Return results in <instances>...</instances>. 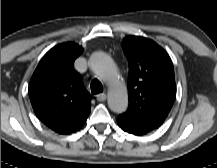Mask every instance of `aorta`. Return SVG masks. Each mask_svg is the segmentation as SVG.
<instances>
[{"label": "aorta", "mask_w": 217, "mask_h": 168, "mask_svg": "<svg viewBox=\"0 0 217 168\" xmlns=\"http://www.w3.org/2000/svg\"><path fill=\"white\" fill-rule=\"evenodd\" d=\"M92 71L109 86L108 106L115 113H123L128 107L126 88L118 79L117 67L104 52H95L90 57Z\"/></svg>", "instance_id": "obj_1"}]
</instances>
